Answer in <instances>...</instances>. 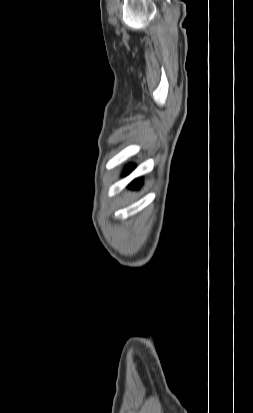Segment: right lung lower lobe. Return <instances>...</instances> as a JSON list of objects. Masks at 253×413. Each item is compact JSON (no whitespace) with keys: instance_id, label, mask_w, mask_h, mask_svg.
I'll use <instances>...</instances> for the list:
<instances>
[{"instance_id":"1","label":"right lung lower lobe","mask_w":253,"mask_h":413,"mask_svg":"<svg viewBox=\"0 0 253 413\" xmlns=\"http://www.w3.org/2000/svg\"><path fill=\"white\" fill-rule=\"evenodd\" d=\"M133 168H134V165H132V164L129 165V166H128V169H126V170L124 171V175L130 173V171H131ZM141 183H142L141 179H136V180H134V181L131 183L130 187H131L132 189H136V188H138V187L141 185Z\"/></svg>"}]
</instances>
